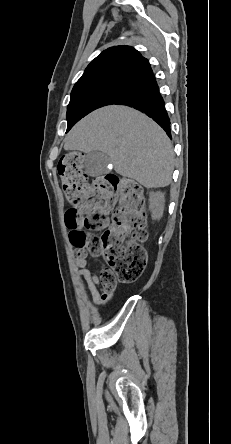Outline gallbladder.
<instances>
[{
  "label": "gallbladder",
  "mask_w": 231,
  "mask_h": 444,
  "mask_svg": "<svg viewBox=\"0 0 231 444\" xmlns=\"http://www.w3.org/2000/svg\"><path fill=\"white\" fill-rule=\"evenodd\" d=\"M110 157L100 151H92L86 155L85 171L89 176L98 177L108 172Z\"/></svg>",
  "instance_id": "obj_1"
}]
</instances>
